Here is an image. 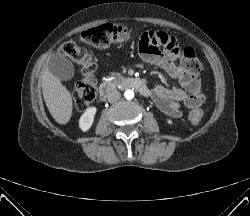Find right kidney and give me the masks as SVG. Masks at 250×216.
<instances>
[{"label":"right kidney","instance_id":"ca27d5eb","mask_svg":"<svg viewBox=\"0 0 250 216\" xmlns=\"http://www.w3.org/2000/svg\"><path fill=\"white\" fill-rule=\"evenodd\" d=\"M97 112L96 107H90L82 114L79 119V127L83 132H86L90 129L94 122V117Z\"/></svg>","mask_w":250,"mask_h":216}]
</instances>
